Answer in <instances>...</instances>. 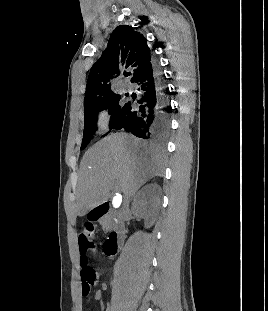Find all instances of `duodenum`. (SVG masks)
I'll list each match as a JSON object with an SVG mask.
<instances>
[{"mask_svg":"<svg viewBox=\"0 0 268 311\" xmlns=\"http://www.w3.org/2000/svg\"><path fill=\"white\" fill-rule=\"evenodd\" d=\"M109 207L110 204L108 202L99 204L90 212L91 219L96 222L104 221L107 217ZM113 222L114 228L109 232L104 243V251L108 256L115 255L119 251L123 241V228L120 220L114 218Z\"/></svg>","mask_w":268,"mask_h":311,"instance_id":"1","label":"duodenum"}]
</instances>
